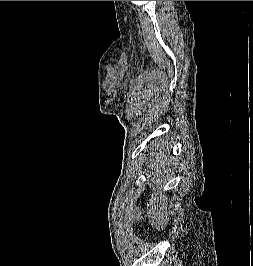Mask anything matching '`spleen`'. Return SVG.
I'll return each instance as SVG.
<instances>
[{
  "mask_svg": "<svg viewBox=\"0 0 253 266\" xmlns=\"http://www.w3.org/2000/svg\"><path fill=\"white\" fill-rule=\"evenodd\" d=\"M155 178L160 179L163 176L162 171L157 170L154 173ZM154 210L151 207H128V216H140L139 221L141 224H154V226H143V235H169V226H157L158 218L153 215Z\"/></svg>",
  "mask_w": 253,
  "mask_h": 266,
  "instance_id": "1",
  "label": "spleen"
}]
</instances>
